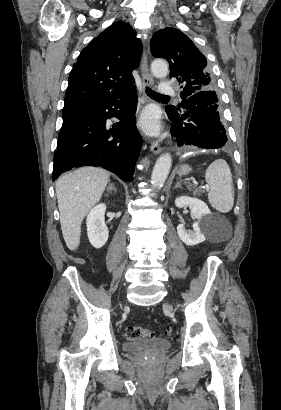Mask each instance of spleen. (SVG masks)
<instances>
[{
  "mask_svg": "<svg viewBox=\"0 0 281 410\" xmlns=\"http://www.w3.org/2000/svg\"><path fill=\"white\" fill-rule=\"evenodd\" d=\"M205 180L209 185L208 200L212 207L222 213L233 208L234 191L230 168L223 159L213 161L207 168Z\"/></svg>",
  "mask_w": 281,
  "mask_h": 410,
  "instance_id": "obj_1",
  "label": "spleen"
}]
</instances>
